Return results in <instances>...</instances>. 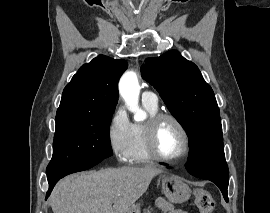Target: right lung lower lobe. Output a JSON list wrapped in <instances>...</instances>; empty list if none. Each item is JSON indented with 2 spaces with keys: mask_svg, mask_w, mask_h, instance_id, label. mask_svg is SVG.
<instances>
[{
  "mask_svg": "<svg viewBox=\"0 0 270 213\" xmlns=\"http://www.w3.org/2000/svg\"><path fill=\"white\" fill-rule=\"evenodd\" d=\"M98 163L99 162H93V163H89L87 165H82V166H77V167L69 168V169H67V170H65L63 172L47 173V179H48V183H49V190L47 191L46 199L50 195V193H51L53 187L55 186V184L61 178L65 177L66 175H69L71 173H75V172L87 170V169L95 166Z\"/></svg>",
  "mask_w": 270,
  "mask_h": 213,
  "instance_id": "1",
  "label": "right lung lower lobe"
}]
</instances>
